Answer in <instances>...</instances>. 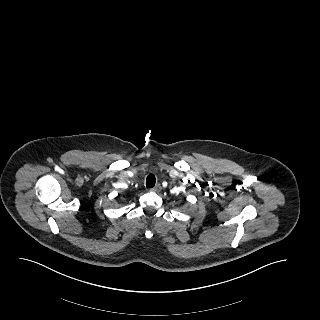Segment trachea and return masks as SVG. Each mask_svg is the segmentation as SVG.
Returning a JSON list of instances; mask_svg holds the SVG:
<instances>
[{
    "instance_id": "trachea-1",
    "label": "trachea",
    "mask_w": 320,
    "mask_h": 320,
    "mask_svg": "<svg viewBox=\"0 0 320 320\" xmlns=\"http://www.w3.org/2000/svg\"><path fill=\"white\" fill-rule=\"evenodd\" d=\"M155 183H156V178L154 175H149L146 179V187L147 188H152L155 186Z\"/></svg>"
}]
</instances>
